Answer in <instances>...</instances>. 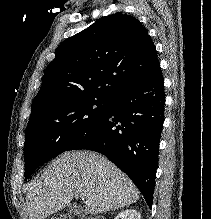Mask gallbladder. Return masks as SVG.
<instances>
[{
	"label": "gallbladder",
	"instance_id": "obj_1",
	"mask_svg": "<svg viewBox=\"0 0 211 219\" xmlns=\"http://www.w3.org/2000/svg\"><path fill=\"white\" fill-rule=\"evenodd\" d=\"M67 211L69 213H73L75 215H81L84 211L82 210L81 207H79L77 204L73 203L68 205Z\"/></svg>",
	"mask_w": 211,
	"mask_h": 219
}]
</instances>
